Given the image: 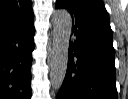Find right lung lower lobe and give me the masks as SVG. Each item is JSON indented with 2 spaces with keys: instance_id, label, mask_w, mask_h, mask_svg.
<instances>
[{
  "instance_id": "98d812e1",
  "label": "right lung lower lobe",
  "mask_w": 128,
  "mask_h": 99,
  "mask_svg": "<svg viewBox=\"0 0 128 99\" xmlns=\"http://www.w3.org/2000/svg\"><path fill=\"white\" fill-rule=\"evenodd\" d=\"M33 23L31 12L0 31L1 99H31Z\"/></svg>"
}]
</instances>
